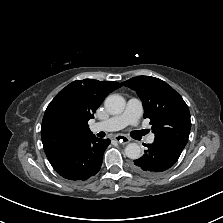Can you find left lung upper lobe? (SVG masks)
<instances>
[{
	"instance_id": "left-lung-upper-lobe-1",
	"label": "left lung upper lobe",
	"mask_w": 223,
	"mask_h": 223,
	"mask_svg": "<svg viewBox=\"0 0 223 223\" xmlns=\"http://www.w3.org/2000/svg\"><path fill=\"white\" fill-rule=\"evenodd\" d=\"M136 91L151 120L155 140H168L185 147L191 120L188 106L166 82L150 76L133 77L122 83Z\"/></svg>"
}]
</instances>
